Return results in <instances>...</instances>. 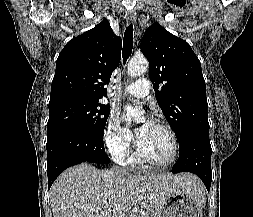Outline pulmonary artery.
Masks as SVG:
<instances>
[{"mask_svg":"<svg viewBox=\"0 0 253 217\" xmlns=\"http://www.w3.org/2000/svg\"><path fill=\"white\" fill-rule=\"evenodd\" d=\"M123 91L137 98H144L150 92V82L146 78H139L135 82L127 85Z\"/></svg>","mask_w":253,"mask_h":217,"instance_id":"e3ab8cb5","label":"pulmonary artery"}]
</instances>
